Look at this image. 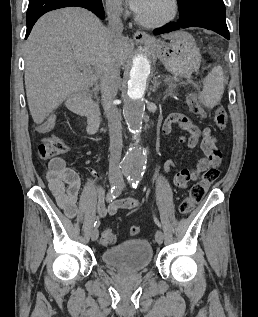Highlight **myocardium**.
<instances>
[{"label":"myocardium","instance_id":"myocardium-1","mask_svg":"<svg viewBox=\"0 0 258 317\" xmlns=\"http://www.w3.org/2000/svg\"><path fill=\"white\" fill-rule=\"evenodd\" d=\"M157 1H159V0H145L139 7H137L135 9V19H136V22L140 26H142L146 29H149V30H158V29H162L163 27H165L167 24H169L175 18L176 14H177L176 1L175 0H164L168 3H170V5H171L170 14L167 17H165L164 19H162L160 22H158L157 24L151 25V24L146 23L140 14V10L146 6H149V5L157 2Z\"/></svg>","mask_w":258,"mask_h":317}]
</instances>
